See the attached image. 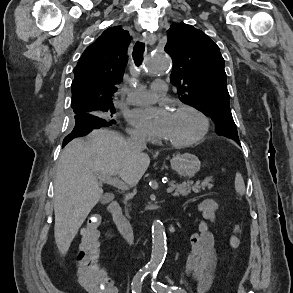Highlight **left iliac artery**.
I'll list each match as a JSON object with an SVG mask.
<instances>
[{
  "label": "left iliac artery",
  "instance_id": "1",
  "mask_svg": "<svg viewBox=\"0 0 293 293\" xmlns=\"http://www.w3.org/2000/svg\"><path fill=\"white\" fill-rule=\"evenodd\" d=\"M157 274H158V269H153L151 271V275H152L151 287L155 293H186V291L184 289H181L180 287L179 288L176 286L171 287L158 281L156 279Z\"/></svg>",
  "mask_w": 293,
  "mask_h": 293
}]
</instances>
